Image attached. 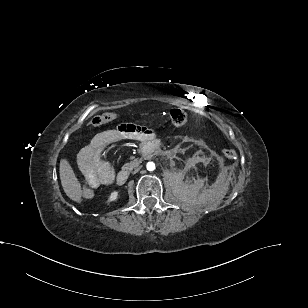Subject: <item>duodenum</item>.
Masks as SVG:
<instances>
[{"mask_svg":"<svg viewBox=\"0 0 308 308\" xmlns=\"http://www.w3.org/2000/svg\"><path fill=\"white\" fill-rule=\"evenodd\" d=\"M157 148V145L154 142H151L149 144L143 143L140 146V149L142 150L143 156H150L151 153ZM129 177V171L128 170H122L120 171L116 176V183L118 185H123Z\"/></svg>","mask_w":308,"mask_h":308,"instance_id":"duodenum-1","label":"duodenum"}]
</instances>
